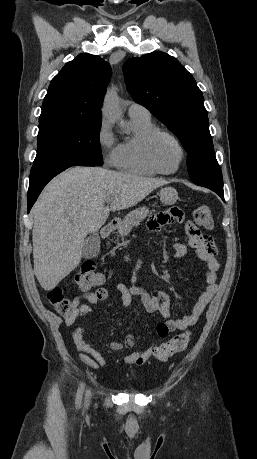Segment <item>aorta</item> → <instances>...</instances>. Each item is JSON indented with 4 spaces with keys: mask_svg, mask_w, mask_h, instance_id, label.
Segmentation results:
<instances>
[{
    "mask_svg": "<svg viewBox=\"0 0 257 459\" xmlns=\"http://www.w3.org/2000/svg\"><path fill=\"white\" fill-rule=\"evenodd\" d=\"M103 115L105 119L112 123L118 124L122 127L125 125L123 116L118 108L115 92L113 90L109 91L106 96L103 107Z\"/></svg>",
    "mask_w": 257,
    "mask_h": 459,
    "instance_id": "aorta-1",
    "label": "aorta"
}]
</instances>
